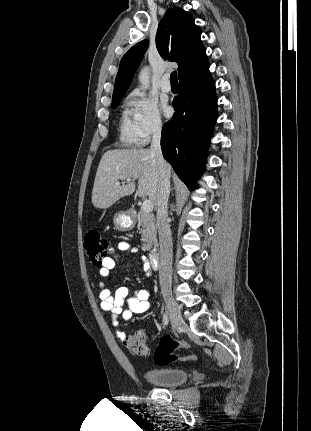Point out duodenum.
I'll return each mask as SVG.
<instances>
[{"label":"duodenum","instance_id":"1","mask_svg":"<svg viewBox=\"0 0 311 431\" xmlns=\"http://www.w3.org/2000/svg\"><path fill=\"white\" fill-rule=\"evenodd\" d=\"M149 260L153 267H158L160 261V251L158 248H152L149 251Z\"/></svg>","mask_w":311,"mask_h":431}]
</instances>
